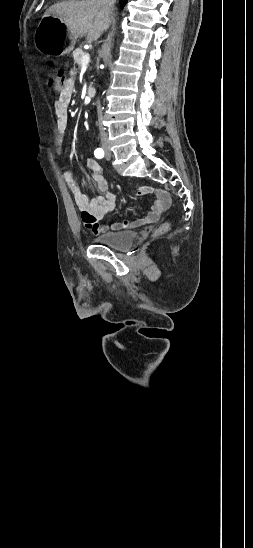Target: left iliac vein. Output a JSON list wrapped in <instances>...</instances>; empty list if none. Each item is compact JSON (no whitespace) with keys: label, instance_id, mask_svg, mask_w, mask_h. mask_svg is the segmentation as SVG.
<instances>
[{"label":"left iliac vein","instance_id":"4c4485c4","mask_svg":"<svg viewBox=\"0 0 253 548\" xmlns=\"http://www.w3.org/2000/svg\"><path fill=\"white\" fill-rule=\"evenodd\" d=\"M105 151H106V156H105L106 159H107V160H110V158H111V152H110L109 148H108V147L105 148Z\"/></svg>","mask_w":253,"mask_h":548}]
</instances>
